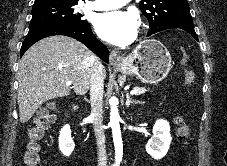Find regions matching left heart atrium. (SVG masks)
<instances>
[{
    "mask_svg": "<svg viewBox=\"0 0 227 166\" xmlns=\"http://www.w3.org/2000/svg\"><path fill=\"white\" fill-rule=\"evenodd\" d=\"M137 25L136 14L126 11L99 14L94 22L99 37L116 45L131 42L135 37Z\"/></svg>",
    "mask_w": 227,
    "mask_h": 166,
    "instance_id": "left-heart-atrium-1",
    "label": "left heart atrium"
}]
</instances>
